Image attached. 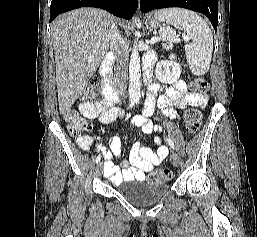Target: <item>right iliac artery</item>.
Segmentation results:
<instances>
[{
  "instance_id": "right-iliac-artery-1",
  "label": "right iliac artery",
  "mask_w": 257,
  "mask_h": 237,
  "mask_svg": "<svg viewBox=\"0 0 257 237\" xmlns=\"http://www.w3.org/2000/svg\"><path fill=\"white\" fill-rule=\"evenodd\" d=\"M134 105V103H131L130 107H132ZM101 159V156L98 155L97 158H96V163H98Z\"/></svg>"
}]
</instances>
